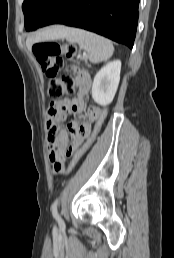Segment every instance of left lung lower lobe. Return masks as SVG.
Segmentation results:
<instances>
[{
	"label": "left lung lower lobe",
	"instance_id": "1",
	"mask_svg": "<svg viewBox=\"0 0 174 258\" xmlns=\"http://www.w3.org/2000/svg\"><path fill=\"white\" fill-rule=\"evenodd\" d=\"M140 0H62L41 27L64 24L83 28L133 47Z\"/></svg>",
	"mask_w": 174,
	"mask_h": 258
}]
</instances>
